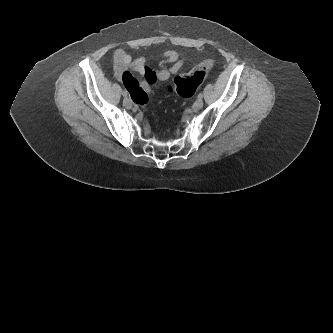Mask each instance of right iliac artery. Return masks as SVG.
Here are the masks:
<instances>
[{
  "label": "right iliac artery",
  "instance_id": "1",
  "mask_svg": "<svg viewBox=\"0 0 333 333\" xmlns=\"http://www.w3.org/2000/svg\"><path fill=\"white\" fill-rule=\"evenodd\" d=\"M123 96H127V91L126 90H123Z\"/></svg>",
  "mask_w": 333,
  "mask_h": 333
}]
</instances>
